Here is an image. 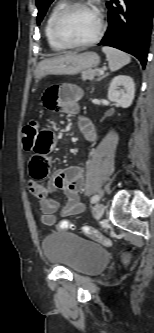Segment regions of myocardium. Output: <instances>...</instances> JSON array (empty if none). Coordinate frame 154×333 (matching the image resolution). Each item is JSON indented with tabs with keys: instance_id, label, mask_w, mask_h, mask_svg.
Returning a JSON list of instances; mask_svg holds the SVG:
<instances>
[{
	"instance_id": "myocardium-1",
	"label": "myocardium",
	"mask_w": 154,
	"mask_h": 333,
	"mask_svg": "<svg viewBox=\"0 0 154 333\" xmlns=\"http://www.w3.org/2000/svg\"><path fill=\"white\" fill-rule=\"evenodd\" d=\"M78 7H91L93 8L97 15H98V28L95 33V35L85 41H71L67 39L63 33L61 32V24L65 18V16L73 9L78 8ZM53 34L57 41L61 43L62 45L68 47V48H77V47H87L95 44L100 40L104 33L105 25H104V17L103 14L101 13L100 10L95 8L92 4L87 3L82 0H73L68 3H66L57 13V15L54 18L53 21Z\"/></svg>"
}]
</instances>
